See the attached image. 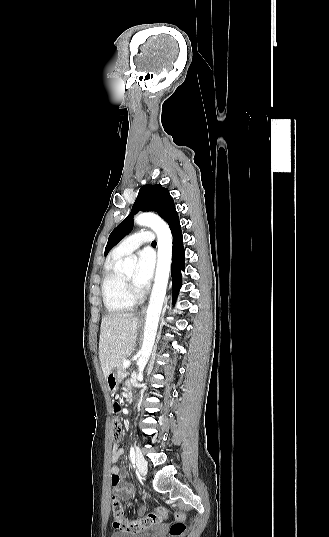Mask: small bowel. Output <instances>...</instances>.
<instances>
[{
	"label": "small bowel",
	"mask_w": 329,
	"mask_h": 537,
	"mask_svg": "<svg viewBox=\"0 0 329 537\" xmlns=\"http://www.w3.org/2000/svg\"><path fill=\"white\" fill-rule=\"evenodd\" d=\"M124 399L122 397H117L113 400V409L114 414H118L123 411L125 408ZM124 454V449L119 447L117 444L113 445L112 448V462L116 463ZM111 484L113 486V493L123 500H127L133 494V488L129 485L126 480L127 470L125 467L113 466L111 469Z\"/></svg>",
	"instance_id": "obj_1"
}]
</instances>
